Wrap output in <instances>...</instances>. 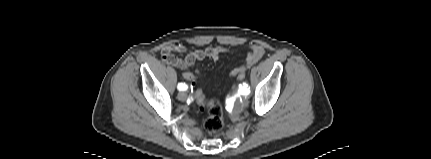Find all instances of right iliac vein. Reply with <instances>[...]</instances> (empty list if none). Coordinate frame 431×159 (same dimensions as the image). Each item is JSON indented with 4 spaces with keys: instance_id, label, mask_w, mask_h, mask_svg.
I'll use <instances>...</instances> for the list:
<instances>
[{
    "instance_id": "1",
    "label": "right iliac vein",
    "mask_w": 431,
    "mask_h": 159,
    "mask_svg": "<svg viewBox=\"0 0 431 159\" xmlns=\"http://www.w3.org/2000/svg\"><path fill=\"white\" fill-rule=\"evenodd\" d=\"M177 98H178L180 101H185V100H186V98H187V95H186V93H185V92H180V93L178 94Z\"/></svg>"
}]
</instances>
